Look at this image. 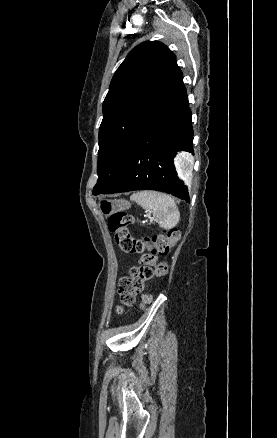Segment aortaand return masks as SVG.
Segmentation results:
<instances>
[{"instance_id": "1", "label": "aorta", "mask_w": 277, "mask_h": 438, "mask_svg": "<svg viewBox=\"0 0 277 438\" xmlns=\"http://www.w3.org/2000/svg\"><path fill=\"white\" fill-rule=\"evenodd\" d=\"M178 175L187 180L191 175L194 165V159L189 153H183L177 158Z\"/></svg>"}]
</instances>
